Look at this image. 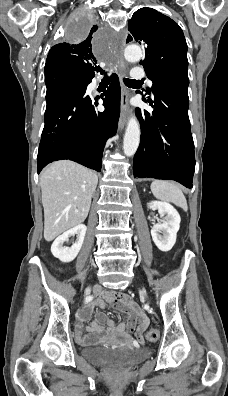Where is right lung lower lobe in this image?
<instances>
[{
    "instance_id": "obj_1",
    "label": "right lung lower lobe",
    "mask_w": 228,
    "mask_h": 396,
    "mask_svg": "<svg viewBox=\"0 0 228 396\" xmlns=\"http://www.w3.org/2000/svg\"><path fill=\"white\" fill-rule=\"evenodd\" d=\"M83 87L59 95L47 105L45 126L37 156L38 174L48 163L69 159L101 171L105 142L116 133L120 115V85L116 74L101 95L104 112L95 110L98 99L86 95L92 78Z\"/></svg>"
}]
</instances>
